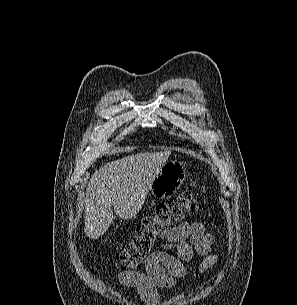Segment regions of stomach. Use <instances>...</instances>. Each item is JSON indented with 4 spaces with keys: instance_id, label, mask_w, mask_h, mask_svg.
<instances>
[{
    "instance_id": "1",
    "label": "stomach",
    "mask_w": 297,
    "mask_h": 305,
    "mask_svg": "<svg viewBox=\"0 0 297 305\" xmlns=\"http://www.w3.org/2000/svg\"><path fill=\"white\" fill-rule=\"evenodd\" d=\"M186 176L183 162L166 161L149 186L155 198L169 199L180 189Z\"/></svg>"
}]
</instances>
